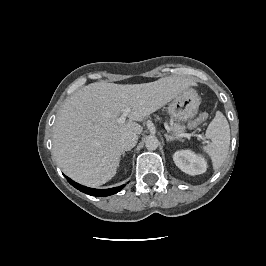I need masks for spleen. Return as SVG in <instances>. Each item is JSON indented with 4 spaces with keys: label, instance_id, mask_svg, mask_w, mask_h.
Returning a JSON list of instances; mask_svg holds the SVG:
<instances>
[{
    "label": "spleen",
    "instance_id": "1",
    "mask_svg": "<svg viewBox=\"0 0 266 266\" xmlns=\"http://www.w3.org/2000/svg\"><path fill=\"white\" fill-rule=\"evenodd\" d=\"M205 135L211 142L202 148L211 157L213 168L218 169L225 161L230 146L229 124L221 112H216Z\"/></svg>",
    "mask_w": 266,
    "mask_h": 266
}]
</instances>
